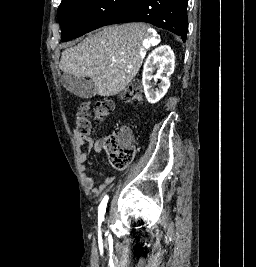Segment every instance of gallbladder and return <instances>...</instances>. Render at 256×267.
Instances as JSON below:
<instances>
[{
    "mask_svg": "<svg viewBox=\"0 0 256 267\" xmlns=\"http://www.w3.org/2000/svg\"><path fill=\"white\" fill-rule=\"evenodd\" d=\"M60 82L68 92L78 96V98H93L97 94L93 82H89L86 78H77V76H71V74H63Z\"/></svg>",
    "mask_w": 256,
    "mask_h": 267,
    "instance_id": "gallbladder-1",
    "label": "gallbladder"
}]
</instances>
